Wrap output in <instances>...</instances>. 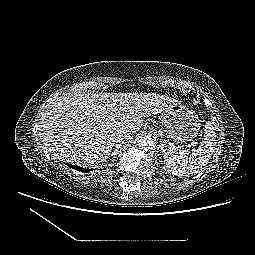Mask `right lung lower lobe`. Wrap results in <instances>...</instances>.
I'll list each match as a JSON object with an SVG mask.
<instances>
[{
	"instance_id": "right-lung-lower-lobe-1",
	"label": "right lung lower lobe",
	"mask_w": 255,
	"mask_h": 255,
	"mask_svg": "<svg viewBox=\"0 0 255 255\" xmlns=\"http://www.w3.org/2000/svg\"><path fill=\"white\" fill-rule=\"evenodd\" d=\"M70 168L72 169H75V170H78V171H83V172H89L91 171V169H85V168H82V167H78V166H74V165H71V164H67Z\"/></svg>"
}]
</instances>
